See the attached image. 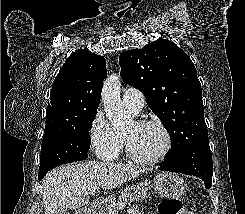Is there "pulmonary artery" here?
I'll use <instances>...</instances> for the list:
<instances>
[{
	"mask_svg": "<svg viewBox=\"0 0 245 214\" xmlns=\"http://www.w3.org/2000/svg\"><path fill=\"white\" fill-rule=\"evenodd\" d=\"M123 104L133 113H139L145 104L144 95L135 88H128L123 93Z\"/></svg>",
	"mask_w": 245,
	"mask_h": 214,
	"instance_id": "pulmonary-artery-1",
	"label": "pulmonary artery"
}]
</instances>
